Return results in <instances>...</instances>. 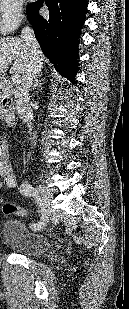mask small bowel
Instances as JSON below:
<instances>
[{
    "label": "small bowel",
    "instance_id": "1",
    "mask_svg": "<svg viewBox=\"0 0 129 309\" xmlns=\"http://www.w3.org/2000/svg\"><path fill=\"white\" fill-rule=\"evenodd\" d=\"M0 190L14 188L17 185L16 176L12 170L7 152L6 143L0 138Z\"/></svg>",
    "mask_w": 129,
    "mask_h": 309
}]
</instances>
